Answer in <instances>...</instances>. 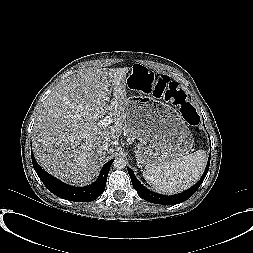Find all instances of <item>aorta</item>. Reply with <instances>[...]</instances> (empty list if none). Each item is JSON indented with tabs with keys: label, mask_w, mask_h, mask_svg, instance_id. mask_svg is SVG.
Instances as JSON below:
<instances>
[{
	"label": "aorta",
	"mask_w": 253,
	"mask_h": 253,
	"mask_svg": "<svg viewBox=\"0 0 253 253\" xmlns=\"http://www.w3.org/2000/svg\"><path fill=\"white\" fill-rule=\"evenodd\" d=\"M126 160L122 157L115 158L113 165L116 169H124L126 167Z\"/></svg>",
	"instance_id": "obj_1"
}]
</instances>
